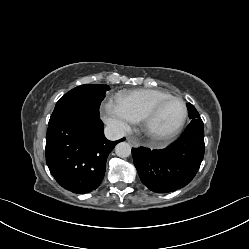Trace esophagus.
<instances>
[{"mask_svg":"<svg viewBox=\"0 0 249 249\" xmlns=\"http://www.w3.org/2000/svg\"><path fill=\"white\" fill-rule=\"evenodd\" d=\"M128 143H130L133 147H137L138 146V142L135 141L134 139L131 138H127Z\"/></svg>","mask_w":249,"mask_h":249,"instance_id":"34e87169","label":"esophagus"}]
</instances>
